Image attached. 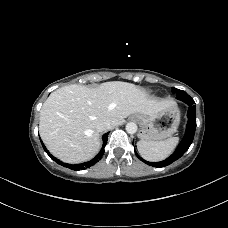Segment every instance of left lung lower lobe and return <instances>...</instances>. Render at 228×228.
I'll return each instance as SVG.
<instances>
[{
    "label": "left lung lower lobe",
    "mask_w": 228,
    "mask_h": 228,
    "mask_svg": "<svg viewBox=\"0 0 228 228\" xmlns=\"http://www.w3.org/2000/svg\"><path fill=\"white\" fill-rule=\"evenodd\" d=\"M179 100L185 102L188 106V123L186 125V131L185 135L177 147V149L174 151V153L168 157L167 159L160 161V162H148L144 159H142L135 151L136 156L149 166H154V167H165L173 163L174 161L178 160L190 147L191 143L193 142L194 134H195V129H196V107L194 105V100L189 96H183L178 98Z\"/></svg>",
    "instance_id": "obj_1"
}]
</instances>
